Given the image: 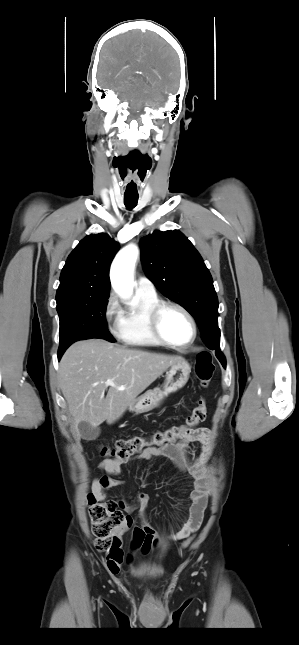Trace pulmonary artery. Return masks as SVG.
Returning a JSON list of instances; mask_svg holds the SVG:
<instances>
[{"label": "pulmonary artery", "mask_w": 299, "mask_h": 645, "mask_svg": "<svg viewBox=\"0 0 299 645\" xmlns=\"http://www.w3.org/2000/svg\"><path fill=\"white\" fill-rule=\"evenodd\" d=\"M136 291L146 294H155L156 289L154 284L146 277H139L135 285Z\"/></svg>", "instance_id": "pulmonary-artery-1"}]
</instances>
